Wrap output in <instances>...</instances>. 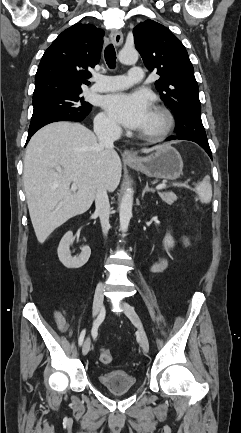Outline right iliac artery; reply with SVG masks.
Wrapping results in <instances>:
<instances>
[{"label": "right iliac artery", "mask_w": 241, "mask_h": 433, "mask_svg": "<svg viewBox=\"0 0 241 433\" xmlns=\"http://www.w3.org/2000/svg\"><path fill=\"white\" fill-rule=\"evenodd\" d=\"M104 317H105V309L102 308L101 311H100L99 316L97 317V319H96L95 322H94V326L99 325V324L104 320ZM85 334H86V330L84 329V330H82V332H81V334H80V336H79V340H78V343H79L80 346H81L82 343H83V340H84Z\"/></svg>", "instance_id": "1"}]
</instances>
